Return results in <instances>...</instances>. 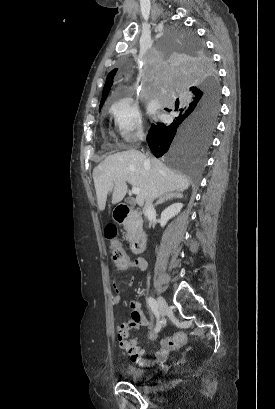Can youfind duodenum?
Returning <instances> with one entry per match:
<instances>
[{
    "label": "duodenum",
    "instance_id": "1",
    "mask_svg": "<svg viewBox=\"0 0 275 409\" xmlns=\"http://www.w3.org/2000/svg\"><path fill=\"white\" fill-rule=\"evenodd\" d=\"M137 216L136 212L126 204H119L114 210V219L124 224ZM146 233L140 226H134L130 236V247L133 253L141 254L146 247Z\"/></svg>",
    "mask_w": 275,
    "mask_h": 409
}]
</instances>
